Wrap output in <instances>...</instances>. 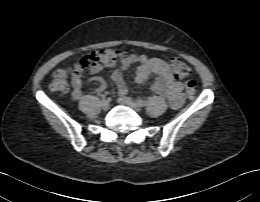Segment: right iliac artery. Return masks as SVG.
Instances as JSON below:
<instances>
[{
  "mask_svg": "<svg viewBox=\"0 0 260 202\" xmlns=\"http://www.w3.org/2000/svg\"><path fill=\"white\" fill-rule=\"evenodd\" d=\"M102 99H103V100L106 99V95H103V96H102Z\"/></svg>",
  "mask_w": 260,
  "mask_h": 202,
  "instance_id": "obj_1",
  "label": "right iliac artery"
}]
</instances>
